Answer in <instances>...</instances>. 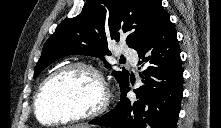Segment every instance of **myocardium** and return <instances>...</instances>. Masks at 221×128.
I'll return each instance as SVG.
<instances>
[{
	"label": "myocardium",
	"mask_w": 221,
	"mask_h": 128,
	"mask_svg": "<svg viewBox=\"0 0 221 128\" xmlns=\"http://www.w3.org/2000/svg\"><path fill=\"white\" fill-rule=\"evenodd\" d=\"M74 69H80L84 70L88 73H90L96 80L98 86H99V95L98 97L91 103L90 109H85L82 112L71 114L62 118H56L49 122H43L38 115V103L40 101L42 92L45 88V86L48 84L49 81H51L53 78ZM109 103V92L106 85V82L100 73L99 70H97L94 66L91 64H87L84 62H73L66 64L52 73H50L39 85L36 94L34 96V102H33V108H34V115L36 119L43 124L47 125H55V124H67V123H73L77 122L83 119L87 118H94L99 115H101L107 108Z\"/></svg>",
	"instance_id": "myocardium-1"
}]
</instances>
